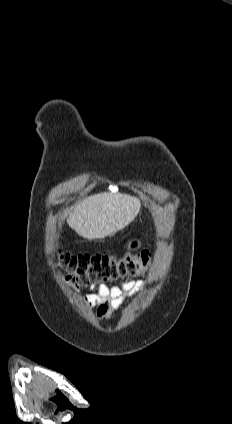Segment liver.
<instances>
[{"mask_svg":"<svg viewBox=\"0 0 232 424\" xmlns=\"http://www.w3.org/2000/svg\"><path fill=\"white\" fill-rule=\"evenodd\" d=\"M140 200L120 193L92 195L77 204L68 225L83 238L101 239L130 224L140 211Z\"/></svg>","mask_w":232,"mask_h":424,"instance_id":"obj_1","label":"liver"}]
</instances>
